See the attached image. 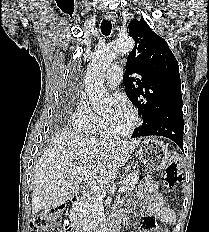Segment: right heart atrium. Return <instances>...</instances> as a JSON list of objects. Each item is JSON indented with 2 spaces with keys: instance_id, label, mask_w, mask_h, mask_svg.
<instances>
[{
  "instance_id": "1",
  "label": "right heart atrium",
  "mask_w": 209,
  "mask_h": 232,
  "mask_svg": "<svg viewBox=\"0 0 209 232\" xmlns=\"http://www.w3.org/2000/svg\"><path fill=\"white\" fill-rule=\"evenodd\" d=\"M99 118L93 112L87 97L80 95L75 110L71 116V126L79 132H88L98 122Z\"/></svg>"
}]
</instances>
